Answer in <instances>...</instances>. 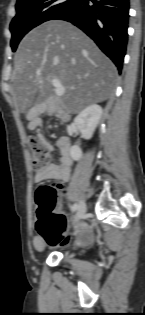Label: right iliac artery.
<instances>
[{"instance_id":"right-iliac-artery-1","label":"right iliac artery","mask_w":145,"mask_h":315,"mask_svg":"<svg viewBox=\"0 0 145 315\" xmlns=\"http://www.w3.org/2000/svg\"><path fill=\"white\" fill-rule=\"evenodd\" d=\"M77 208H78V205H77L76 203L73 204V205L71 206L72 212L74 213V212L77 210Z\"/></svg>"}]
</instances>
